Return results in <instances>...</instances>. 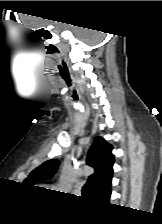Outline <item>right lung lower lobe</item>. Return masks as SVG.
<instances>
[{"mask_svg":"<svg viewBox=\"0 0 162 224\" xmlns=\"http://www.w3.org/2000/svg\"><path fill=\"white\" fill-rule=\"evenodd\" d=\"M110 195H111V192L107 194L106 196H104L101 200L107 202L110 199Z\"/></svg>","mask_w":162,"mask_h":224,"instance_id":"98d812e1","label":"right lung lower lobe"}]
</instances>
